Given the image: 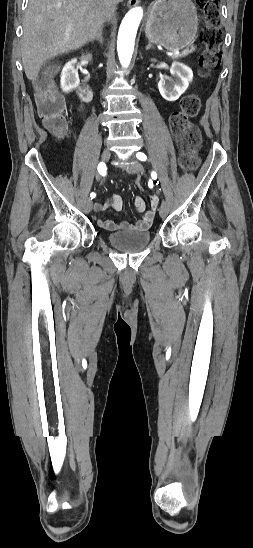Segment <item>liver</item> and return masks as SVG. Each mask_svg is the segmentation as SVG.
Wrapping results in <instances>:
<instances>
[{"label": "liver", "mask_w": 253, "mask_h": 548, "mask_svg": "<svg viewBox=\"0 0 253 548\" xmlns=\"http://www.w3.org/2000/svg\"><path fill=\"white\" fill-rule=\"evenodd\" d=\"M104 20V0H29L21 41L26 77L35 80L46 61L95 38Z\"/></svg>", "instance_id": "obj_1"}]
</instances>
